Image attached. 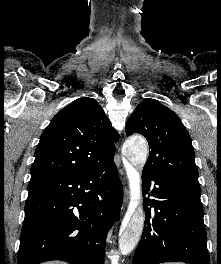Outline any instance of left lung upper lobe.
<instances>
[{
	"instance_id": "obj_1",
	"label": "left lung upper lobe",
	"mask_w": 221,
	"mask_h": 264,
	"mask_svg": "<svg viewBox=\"0 0 221 264\" xmlns=\"http://www.w3.org/2000/svg\"><path fill=\"white\" fill-rule=\"evenodd\" d=\"M126 133L142 134L149 144L143 171L200 188L191 138L179 117L155 99H145L126 124Z\"/></svg>"
}]
</instances>
